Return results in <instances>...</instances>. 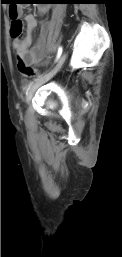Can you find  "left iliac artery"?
Listing matches in <instances>:
<instances>
[{
    "label": "left iliac artery",
    "instance_id": "44dca946",
    "mask_svg": "<svg viewBox=\"0 0 122 257\" xmlns=\"http://www.w3.org/2000/svg\"><path fill=\"white\" fill-rule=\"evenodd\" d=\"M62 51H63L62 46H59L58 51H57V57H56V60H58V58L61 56Z\"/></svg>",
    "mask_w": 122,
    "mask_h": 257
}]
</instances>
